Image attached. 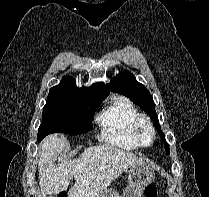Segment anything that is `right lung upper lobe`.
Returning a JSON list of instances; mask_svg holds the SVG:
<instances>
[{
  "label": "right lung upper lobe",
  "instance_id": "cb5924a9",
  "mask_svg": "<svg viewBox=\"0 0 209 197\" xmlns=\"http://www.w3.org/2000/svg\"><path fill=\"white\" fill-rule=\"evenodd\" d=\"M55 87L80 89V90H83L84 92H86L90 97L96 98V99H104L109 94L108 88L102 82L95 83V84L91 85L90 87L78 88V87H76V82H75L74 78L68 77V76L63 77L61 83Z\"/></svg>",
  "mask_w": 209,
  "mask_h": 197
}]
</instances>
